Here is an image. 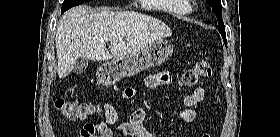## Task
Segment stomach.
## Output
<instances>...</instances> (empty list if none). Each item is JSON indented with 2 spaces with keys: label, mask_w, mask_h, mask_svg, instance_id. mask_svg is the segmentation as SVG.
Masks as SVG:
<instances>
[{
  "label": "stomach",
  "mask_w": 280,
  "mask_h": 137,
  "mask_svg": "<svg viewBox=\"0 0 280 137\" xmlns=\"http://www.w3.org/2000/svg\"><path fill=\"white\" fill-rule=\"evenodd\" d=\"M173 53V45L166 40H158L136 54L113 59L103 63L98 69V80L103 85H111L122 78L130 77L150 67L164 63Z\"/></svg>",
  "instance_id": "obj_1"
}]
</instances>
